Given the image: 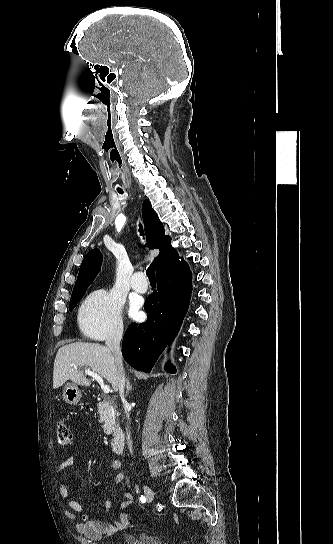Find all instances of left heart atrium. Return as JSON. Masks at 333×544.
<instances>
[{
	"instance_id": "39dd6f15",
	"label": "left heart atrium",
	"mask_w": 333,
	"mask_h": 544,
	"mask_svg": "<svg viewBox=\"0 0 333 544\" xmlns=\"http://www.w3.org/2000/svg\"><path fill=\"white\" fill-rule=\"evenodd\" d=\"M140 306H141L140 301H135L131 305V313L135 318L140 316V312H139Z\"/></svg>"
}]
</instances>
